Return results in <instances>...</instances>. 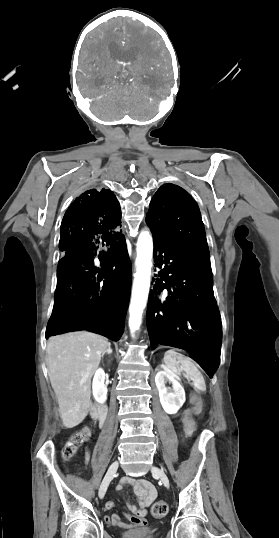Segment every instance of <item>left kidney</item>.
I'll list each match as a JSON object with an SVG mask.
<instances>
[{
	"label": "left kidney",
	"instance_id": "5707ae66",
	"mask_svg": "<svg viewBox=\"0 0 279 538\" xmlns=\"http://www.w3.org/2000/svg\"><path fill=\"white\" fill-rule=\"evenodd\" d=\"M177 378L175 372L168 368L159 370L155 376L161 406L167 414H177L186 400L184 388L177 382ZM166 382H172V388H166Z\"/></svg>",
	"mask_w": 279,
	"mask_h": 538
}]
</instances>
